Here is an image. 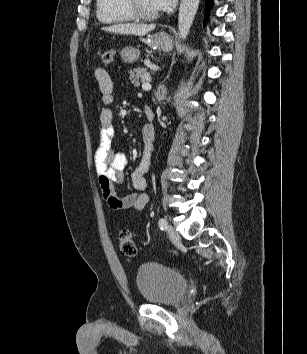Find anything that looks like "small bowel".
<instances>
[{"mask_svg": "<svg viewBox=\"0 0 307 354\" xmlns=\"http://www.w3.org/2000/svg\"><path fill=\"white\" fill-rule=\"evenodd\" d=\"M93 76L97 81L103 108L100 112L99 147L95 154V169L98 176L100 189L109 207L113 210L133 208L141 211L149 202V196L144 191L147 188L146 172L151 164V153L154 141V129L150 125L142 128V141L144 151L142 158L131 173V183L136 193L119 196L115 191V185L124 180V170L127 166V156L117 152L113 148L115 128L113 113L110 105L113 102V81L104 68H95Z\"/></svg>", "mask_w": 307, "mask_h": 354, "instance_id": "c3829d8e", "label": "small bowel"}]
</instances>
